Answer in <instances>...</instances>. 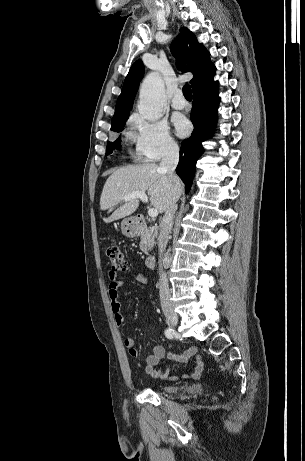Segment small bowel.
Instances as JSON below:
<instances>
[{
    "mask_svg": "<svg viewBox=\"0 0 305 461\" xmlns=\"http://www.w3.org/2000/svg\"><path fill=\"white\" fill-rule=\"evenodd\" d=\"M128 275L134 277L139 282H145V276L140 273H136L133 270L128 272ZM108 296L111 301V312L114 316L115 323L117 325H122L125 322L124 314L121 310V304L118 301L119 289L124 287L125 283L117 279V275L113 272L108 274ZM124 346L126 347L128 353L132 357H136L138 352L135 348V340L133 337L124 338ZM166 356V350L161 345H154L152 353L149 354L144 360V372L145 374L160 379L170 378L172 380L177 379V376L170 374L169 369H158L157 365L159 362ZM194 357L195 367L191 373V377L197 379L200 377L203 363L201 357L197 355L196 348L191 347L185 351L182 355H177L172 352L168 353V358L176 362H186L189 358ZM181 378L189 377L188 374L184 373L180 376Z\"/></svg>",
    "mask_w": 305,
    "mask_h": 461,
    "instance_id": "small-bowel-1",
    "label": "small bowel"
}]
</instances>
